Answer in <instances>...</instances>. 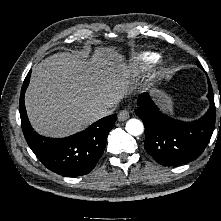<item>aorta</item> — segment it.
I'll return each instance as SVG.
<instances>
[{
	"label": "aorta",
	"mask_w": 221,
	"mask_h": 221,
	"mask_svg": "<svg viewBox=\"0 0 221 221\" xmlns=\"http://www.w3.org/2000/svg\"><path fill=\"white\" fill-rule=\"evenodd\" d=\"M126 131L132 136H138L143 133L144 125L138 119H130L125 126Z\"/></svg>",
	"instance_id": "762f6f07"
}]
</instances>
